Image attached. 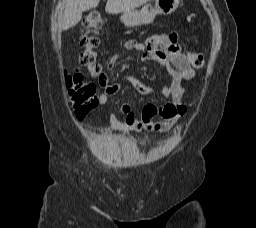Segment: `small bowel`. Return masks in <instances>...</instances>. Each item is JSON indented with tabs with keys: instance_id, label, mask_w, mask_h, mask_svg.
Wrapping results in <instances>:
<instances>
[{
	"instance_id": "1",
	"label": "small bowel",
	"mask_w": 256,
	"mask_h": 228,
	"mask_svg": "<svg viewBox=\"0 0 256 228\" xmlns=\"http://www.w3.org/2000/svg\"><path fill=\"white\" fill-rule=\"evenodd\" d=\"M124 48L128 51L141 53L143 60L158 63L167 71L170 81L161 89L160 95L170 98L171 102L161 107L147 104L140 117L133 113L129 104H123L121 112L124 119L120 120L114 114H110L111 128L122 132L141 130L166 132L170 130L178 119L186 113V106L182 102L185 94L183 83L194 76V69L187 53L182 52L175 33H154L148 36L144 42L130 39L124 43ZM119 59L120 54L112 55L107 62V68H114ZM99 83L103 88L99 100L101 104H106L109 97L118 92L119 85L110 83L104 72L99 75ZM127 83L141 95H150L154 92L153 88L135 77L127 78ZM156 116H160L161 119L155 120Z\"/></svg>"
}]
</instances>
